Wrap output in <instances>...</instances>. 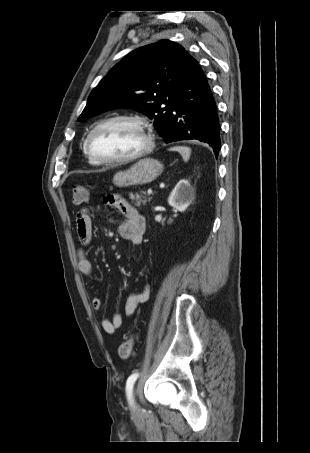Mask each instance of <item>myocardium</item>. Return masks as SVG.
Wrapping results in <instances>:
<instances>
[{
    "label": "myocardium",
    "instance_id": "1",
    "mask_svg": "<svg viewBox=\"0 0 310 453\" xmlns=\"http://www.w3.org/2000/svg\"><path fill=\"white\" fill-rule=\"evenodd\" d=\"M119 121H124V122H129L134 125H136L140 131L143 133V136L145 138V144L144 146L138 150L137 152L128 155L126 157L122 158H105L102 156L97 155L92 148V138L94 134L103 126L108 125L113 122H119ZM154 147V138L152 134V130L150 125L143 120L142 118L138 116H132V115H116L112 116L106 119H103L99 121L88 133L86 140H85V149L87 154L92 158L94 161L100 163V164H125L129 163L132 161H135L147 154H149Z\"/></svg>",
    "mask_w": 310,
    "mask_h": 453
}]
</instances>
